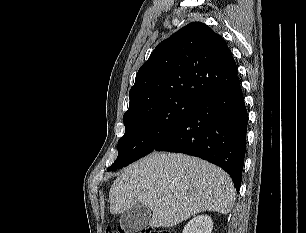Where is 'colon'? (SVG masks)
Here are the masks:
<instances>
[{
  "label": "colon",
  "instance_id": "colon-1",
  "mask_svg": "<svg viewBox=\"0 0 306 233\" xmlns=\"http://www.w3.org/2000/svg\"><path fill=\"white\" fill-rule=\"evenodd\" d=\"M106 233H132V232H128L123 229L108 228ZM139 233H172V232L164 228H154Z\"/></svg>",
  "mask_w": 306,
  "mask_h": 233
}]
</instances>
